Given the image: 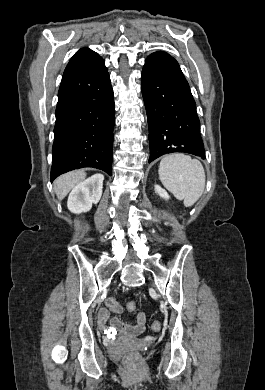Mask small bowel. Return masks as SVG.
I'll list each match as a JSON object with an SVG mask.
<instances>
[{
  "label": "small bowel",
  "instance_id": "small-bowel-1",
  "mask_svg": "<svg viewBox=\"0 0 265 390\" xmlns=\"http://www.w3.org/2000/svg\"><path fill=\"white\" fill-rule=\"evenodd\" d=\"M109 314L105 309H100L98 312V323L99 325L107 331H111L106 327V323L108 321ZM146 323V315L143 312H140L136 316V323L133 326L123 325L117 318L111 319L112 328L119 329L124 331L126 334L131 336H136L141 334L145 330Z\"/></svg>",
  "mask_w": 265,
  "mask_h": 390
}]
</instances>
